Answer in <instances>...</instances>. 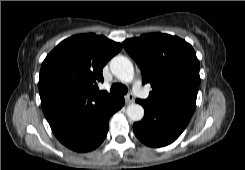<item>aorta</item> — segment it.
<instances>
[{"label":"aorta","instance_id":"762f6f07","mask_svg":"<svg viewBox=\"0 0 245 170\" xmlns=\"http://www.w3.org/2000/svg\"><path fill=\"white\" fill-rule=\"evenodd\" d=\"M112 74L120 81L129 83L134 78V68L131 61L122 55L115 56L110 61ZM127 116L132 121H140L144 116V108L136 103L130 104L126 109Z\"/></svg>","mask_w":245,"mask_h":170}]
</instances>
